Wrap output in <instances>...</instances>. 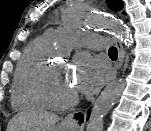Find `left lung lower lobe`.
<instances>
[{"instance_id": "left-lung-lower-lobe-1", "label": "left lung lower lobe", "mask_w": 151, "mask_h": 131, "mask_svg": "<svg viewBox=\"0 0 151 131\" xmlns=\"http://www.w3.org/2000/svg\"><path fill=\"white\" fill-rule=\"evenodd\" d=\"M89 115H90V110L88 111V116H87V119L89 118Z\"/></svg>"}]
</instances>
